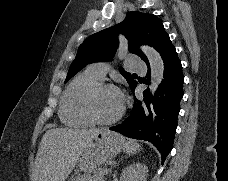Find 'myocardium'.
<instances>
[{
  "instance_id": "1",
  "label": "myocardium",
  "mask_w": 228,
  "mask_h": 181,
  "mask_svg": "<svg viewBox=\"0 0 228 181\" xmlns=\"http://www.w3.org/2000/svg\"><path fill=\"white\" fill-rule=\"evenodd\" d=\"M104 89H114L118 90L116 85L112 82L100 81L97 83L90 91L87 102H86V111L91 120L97 124L107 125L116 122L124 112V100L120 110L110 118L101 117L96 110V98L98 94Z\"/></svg>"
}]
</instances>
